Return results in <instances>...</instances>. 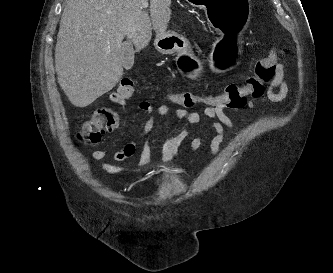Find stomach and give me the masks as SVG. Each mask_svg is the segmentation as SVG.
I'll return each mask as SVG.
<instances>
[{
    "label": "stomach",
    "mask_w": 333,
    "mask_h": 273,
    "mask_svg": "<svg viewBox=\"0 0 333 273\" xmlns=\"http://www.w3.org/2000/svg\"><path fill=\"white\" fill-rule=\"evenodd\" d=\"M190 5L207 11V19L213 32H223V38H240L254 22L250 16L252 0H186ZM155 48L162 54H179L178 70H187L196 75L200 58H190V45L186 37L175 31L157 35ZM239 39H223L222 44H213L211 58L206 63L209 70H219L220 75H233L235 65L243 64Z\"/></svg>",
    "instance_id": "1"
}]
</instances>
